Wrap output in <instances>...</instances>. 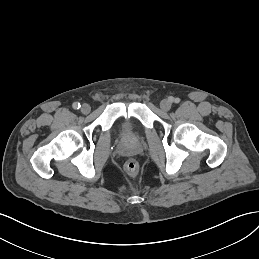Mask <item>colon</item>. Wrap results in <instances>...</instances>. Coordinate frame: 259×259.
<instances>
[{"instance_id":"obj_1","label":"colon","mask_w":259,"mask_h":259,"mask_svg":"<svg viewBox=\"0 0 259 259\" xmlns=\"http://www.w3.org/2000/svg\"><path fill=\"white\" fill-rule=\"evenodd\" d=\"M124 168L130 176H136L139 171V164L135 159H129L126 161Z\"/></svg>"}]
</instances>
